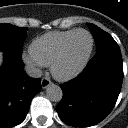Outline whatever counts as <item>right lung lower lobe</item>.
<instances>
[{
	"mask_svg": "<svg viewBox=\"0 0 128 128\" xmlns=\"http://www.w3.org/2000/svg\"><path fill=\"white\" fill-rule=\"evenodd\" d=\"M0 69V128H11L23 122L32 98L41 91V79L24 73V63L4 53Z\"/></svg>",
	"mask_w": 128,
	"mask_h": 128,
	"instance_id": "98d812e1",
	"label": "right lung lower lobe"
}]
</instances>
